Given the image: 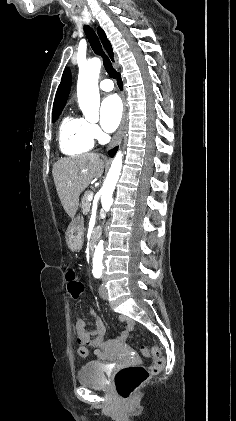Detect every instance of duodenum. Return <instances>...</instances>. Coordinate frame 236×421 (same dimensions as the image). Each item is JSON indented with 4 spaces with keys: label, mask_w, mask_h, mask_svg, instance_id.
Returning a JSON list of instances; mask_svg holds the SVG:
<instances>
[{
    "label": "duodenum",
    "mask_w": 236,
    "mask_h": 421,
    "mask_svg": "<svg viewBox=\"0 0 236 421\" xmlns=\"http://www.w3.org/2000/svg\"><path fill=\"white\" fill-rule=\"evenodd\" d=\"M99 236H100V231L95 230L93 232L92 236H91V241H90V248L91 249H93L95 247V245H96V243L99 239ZM127 327H128V329H131L132 325L129 324ZM95 334L97 335L96 338L93 341H91L90 338H89V333H87L85 331L84 327H82L79 330V338H80L82 344H90L92 346L100 347L101 351L96 350V354L98 355V357L101 358V359L109 358L110 357L109 345L106 342L103 341L104 340L103 339L104 338L103 330L101 328H98V330L95 332ZM126 335H127V332H125L122 335V340L125 339Z\"/></svg>",
    "instance_id": "1"
}]
</instances>
